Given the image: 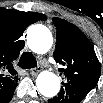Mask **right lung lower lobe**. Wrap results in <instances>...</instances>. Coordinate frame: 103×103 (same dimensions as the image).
<instances>
[{
    "instance_id": "98d812e1",
    "label": "right lung lower lobe",
    "mask_w": 103,
    "mask_h": 103,
    "mask_svg": "<svg viewBox=\"0 0 103 103\" xmlns=\"http://www.w3.org/2000/svg\"><path fill=\"white\" fill-rule=\"evenodd\" d=\"M16 87H14L13 89H11L9 92L5 93L4 95H2L0 97V102L1 103H7L9 102L11 99H12V96H13V93H14V90H15Z\"/></svg>"
}]
</instances>
